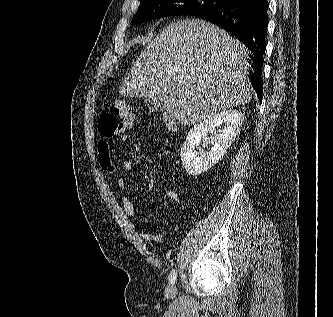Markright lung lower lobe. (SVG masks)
I'll return each mask as SVG.
<instances>
[{
	"instance_id": "obj_1",
	"label": "right lung lower lobe",
	"mask_w": 333,
	"mask_h": 317,
	"mask_svg": "<svg viewBox=\"0 0 333 317\" xmlns=\"http://www.w3.org/2000/svg\"><path fill=\"white\" fill-rule=\"evenodd\" d=\"M267 0H227L220 7L195 16L211 22L243 42L254 54V74L251 75L259 100L262 98L261 69L266 47L268 26Z\"/></svg>"
}]
</instances>
